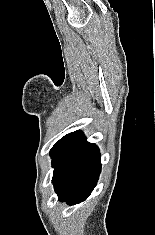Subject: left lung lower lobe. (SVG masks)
<instances>
[{"instance_id":"0a47b994","label":"left lung lower lobe","mask_w":155,"mask_h":235,"mask_svg":"<svg viewBox=\"0 0 155 235\" xmlns=\"http://www.w3.org/2000/svg\"><path fill=\"white\" fill-rule=\"evenodd\" d=\"M52 183L60 201L76 204L94 189L101 172L98 147L81 131L71 133L51 154Z\"/></svg>"}]
</instances>
